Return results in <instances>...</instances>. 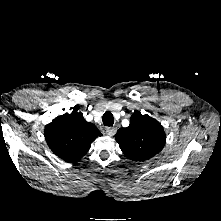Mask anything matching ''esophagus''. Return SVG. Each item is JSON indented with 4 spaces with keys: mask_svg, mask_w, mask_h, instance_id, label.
<instances>
[{
    "mask_svg": "<svg viewBox=\"0 0 221 221\" xmlns=\"http://www.w3.org/2000/svg\"><path fill=\"white\" fill-rule=\"evenodd\" d=\"M116 131H117V129L115 127H107L106 128V134L110 137L114 136Z\"/></svg>",
    "mask_w": 221,
    "mask_h": 221,
    "instance_id": "34e87169",
    "label": "esophagus"
}]
</instances>
